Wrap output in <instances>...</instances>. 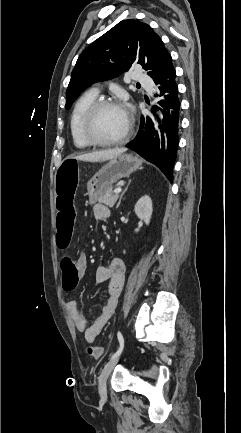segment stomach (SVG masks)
I'll use <instances>...</instances> for the list:
<instances>
[{
    "label": "stomach",
    "mask_w": 241,
    "mask_h": 433,
    "mask_svg": "<svg viewBox=\"0 0 241 433\" xmlns=\"http://www.w3.org/2000/svg\"><path fill=\"white\" fill-rule=\"evenodd\" d=\"M141 165L137 156L120 154L105 164L87 184V195L91 203L110 190L111 186L121 178L129 177Z\"/></svg>",
    "instance_id": "1"
}]
</instances>
